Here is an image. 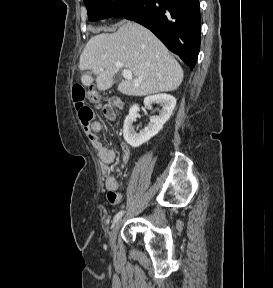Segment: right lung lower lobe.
<instances>
[{
  "mask_svg": "<svg viewBox=\"0 0 273 288\" xmlns=\"http://www.w3.org/2000/svg\"><path fill=\"white\" fill-rule=\"evenodd\" d=\"M122 17L150 29L192 69L200 49L199 0H138Z\"/></svg>",
  "mask_w": 273,
  "mask_h": 288,
  "instance_id": "obj_1",
  "label": "right lung lower lobe"
}]
</instances>
